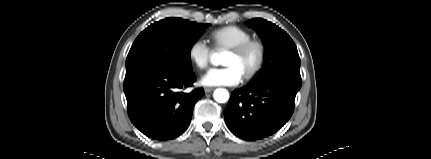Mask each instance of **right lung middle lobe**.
Returning a JSON list of instances; mask_svg holds the SVG:
<instances>
[{
	"instance_id": "right-lung-middle-lobe-1",
	"label": "right lung middle lobe",
	"mask_w": 431,
	"mask_h": 159,
	"mask_svg": "<svg viewBox=\"0 0 431 159\" xmlns=\"http://www.w3.org/2000/svg\"><path fill=\"white\" fill-rule=\"evenodd\" d=\"M209 25L181 18L151 24L135 39L126 59V71L149 62L192 71L190 50Z\"/></svg>"
}]
</instances>
